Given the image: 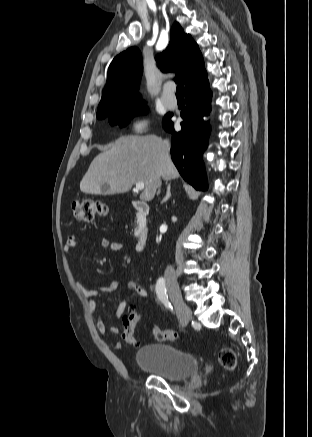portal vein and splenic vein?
<instances>
[{"label":"portal vein and splenic vein","instance_id":"obj_1","mask_svg":"<svg viewBox=\"0 0 312 437\" xmlns=\"http://www.w3.org/2000/svg\"><path fill=\"white\" fill-rule=\"evenodd\" d=\"M136 189L137 190H143L144 189V183L143 182H136Z\"/></svg>","mask_w":312,"mask_h":437}]
</instances>
